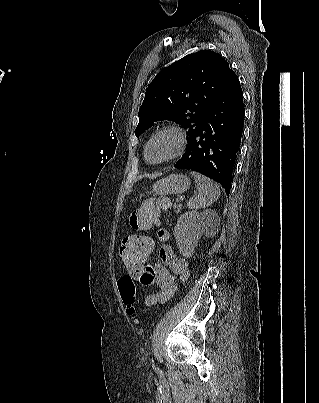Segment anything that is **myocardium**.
Here are the masks:
<instances>
[{"label":"myocardium","instance_id":"myocardium-1","mask_svg":"<svg viewBox=\"0 0 319 403\" xmlns=\"http://www.w3.org/2000/svg\"><path fill=\"white\" fill-rule=\"evenodd\" d=\"M172 135L175 138V148L174 150L166 157L158 160V161H150L148 159V150L150 145L152 144L153 141H155L157 138H159L162 135ZM187 147V137L183 129L179 126L176 125H166L164 127H161L160 129L156 130L152 136L148 139L145 149H144V156L147 162L153 163V164H162L166 162L173 161L179 157H181Z\"/></svg>","mask_w":319,"mask_h":403}]
</instances>
